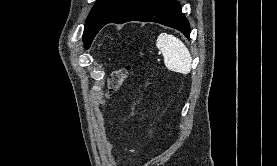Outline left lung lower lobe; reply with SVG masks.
I'll return each mask as SVG.
<instances>
[{"label":"left lung lower lobe","instance_id":"left-lung-lower-lobe-1","mask_svg":"<svg viewBox=\"0 0 277 166\" xmlns=\"http://www.w3.org/2000/svg\"><path fill=\"white\" fill-rule=\"evenodd\" d=\"M128 21L156 22L181 31L187 38L190 36V24L175 0H135L107 23Z\"/></svg>","mask_w":277,"mask_h":166}]
</instances>
